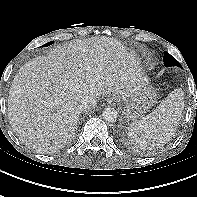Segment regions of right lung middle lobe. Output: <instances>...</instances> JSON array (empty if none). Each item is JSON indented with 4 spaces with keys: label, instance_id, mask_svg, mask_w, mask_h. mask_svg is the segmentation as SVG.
Masks as SVG:
<instances>
[{
    "label": "right lung middle lobe",
    "instance_id": "right-lung-middle-lobe-1",
    "mask_svg": "<svg viewBox=\"0 0 197 197\" xmlns=\"http://www.w3.org/2000/svg\"><path fill=\"white\" fill-rule=\"evenodd\" d=\"M53 43H54V41L49 42V43H46V44H44L42 47H47V46H49V45H51V44H53Z\"/></svg>",
    "mask_w": 197,
    "mask_h": 197
}]
</instances>
